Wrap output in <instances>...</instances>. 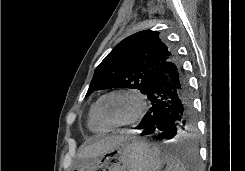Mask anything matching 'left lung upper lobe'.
<instances>
[{"label": "left lung upper lobe", "mask_w": 245, "mask_h": 171, "mask_svg": "<svg viewBox=\"0 0 245 171\" xmlns=\"http://www.w3.org/2000/svg\"><path fill=\"white\" fill-rule=\"evenodd\" d=\"M174 56L157 31H140L122 40L96 68L86 97L96 90L126 87L146 94Z\"/></svg>", "instance_id": "5c2ea615"}]
</instances>
